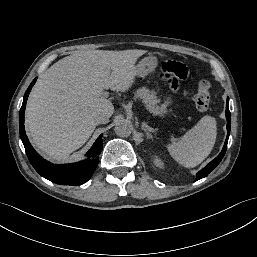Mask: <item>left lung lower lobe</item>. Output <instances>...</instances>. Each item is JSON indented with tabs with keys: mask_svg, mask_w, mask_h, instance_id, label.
<instances>
[{
	"mask_svg": "<svg viewBox=\"0 0 257 257\" xmlns=\"http://www.w3.org/2000/svg\"><path fill=\"white\" fill-rule=\"evenodd\" d=\"M226 118H227L228 134H227V137L225 140L224 147H223L221 153L214 160H212L205 168H203L201 171H199L197 173L196 181L207 176L220 163V161L222 160V158L226 152L230 127H231V118H230V111H229V98H227V104H226Z\"/></svg>",
	"mask_w": 257,
	"mask_h": 257,
	"instance_id": "obj_1",
	"label": "left lung lower lobe"
}]
</instances>
